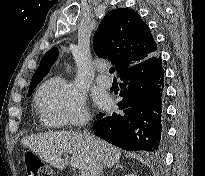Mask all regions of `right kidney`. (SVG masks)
<instances>
[{
  "mask_svg": "<svg viewBox=\"0 0 205 176\" xmlns=\"http://www.w3.org/2000/svg\"><path fill=\"white\" fill-rule=\"evenodd\" d=\"M125 176H137V175H135V174H128V175H125Z\"/></svg>",
  "mask_w": 205,
  "mask_h": 176,
  "instance_id": "1",
  "label": "right kidney"
}]
</instances>
